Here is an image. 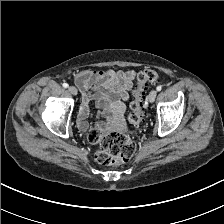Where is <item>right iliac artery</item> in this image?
I'll return each mask as SVG.
<instances>
[{
	"label": "right iliac artery",
	"mask_w": 224,
	"mask_h": 224,
	"mask_svg": "<svg viewBox=\"0 0 224 224\" xmlns=\"http://www.w3.org/2000/svg\"><path fill=\"white\" fill-rule=\"evenodd\" d=\"M62 86H63L64 88H67V87H68V84H67V83H63Z\"/></svg>",
	"instance_id": "right-iliac-artery-1"
}]
</instances>
